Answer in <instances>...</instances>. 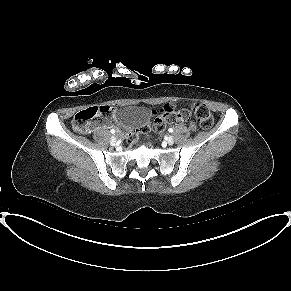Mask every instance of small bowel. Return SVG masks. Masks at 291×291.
<instances>
[{"mask_svg": "<svg viewBox=\"0 0 291 291\" xmlns=\"http://www.w3.org/2000/svg\"><path fill=\"white\" fill-rule=\"evenodd\" d=\"M153 115L156 114L155 111L152 112ZM190 113L187 110H179L176 112V115L174 116V120L176 122H187L190 120ZM189 126L192 130L196 129V124L194 122H190Z\"/></svg>", "mask_w": 291, "mask_h": 291, "instance_id": "obj_1", "label": "small bowel"}]
</instances>
